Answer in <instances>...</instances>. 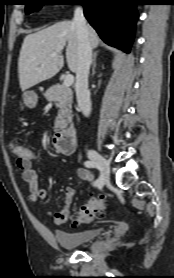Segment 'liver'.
<instances>
[{"instance_id": "obj_1", "label": "liver", "mask_w": 174, "mask_h": 278, "mask_svg": "<svg viewBox=\"0 0 174 278\" xmlns=\"http://www.w3.org/2000/svg\"><path fill=\"white\" fill-rule=\"evenodd\" d=\"M92 48L99 45L96 31L88 27ZM66 48L68 68L76 72L78 37L72 21H62L25 37L18 60L19 83L22 91L56 75L64 65L62 50ZM55 53V56L52 54Z\"/></svg>"}]
</instances>
